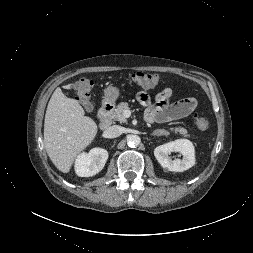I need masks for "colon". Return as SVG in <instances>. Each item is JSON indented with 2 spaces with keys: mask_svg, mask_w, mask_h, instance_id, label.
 Here are the masks:
<instances>
[{
  "mask_svg": "<svg viewBox=\"0 0 253 253\" xmlns=\"http://www.w3.org/2000/svg\"><path fill=\"white\" fill-rule=\"evenodd\" d=\"M126 78L143 87H149L157 84L160 81V76L157 73L137 71L128 74ZM94 85V81L88 77L79 79L74 85V93L77 100L81 103L86 111L92 109V103L90 100V92ZM195 126L199 130H206L209 126L208 118L201 112L196 113L193 118Z\"/></svg>",
  "mask_w": 253,
  "mask_h": 253,
  "instance_id": "1",
  "label": "colon"
}]
</instances>
